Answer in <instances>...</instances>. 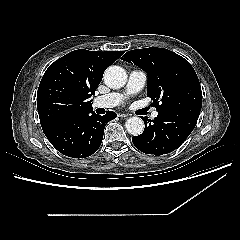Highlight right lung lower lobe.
Instances as JSON below:
<instances>
[{
  "instance_id": "obj_1",
  "label": "right lung lower lobe",
  "mask_w": 240,
  "mask_h": 240,
  "mask_svg": "<svg viewBox=\"0 0 240 240\" xmlns=\"http://www.w3.org/2000/svg\"><path fill=\"white\" fill-rule=\"evenodd\" d=\"M116 116L112 111L100 116L91 110L67 118L43 132L60 153L85 158L98 150L106 124Z\"/></svg>"
}]
</instances>
